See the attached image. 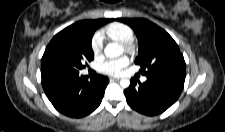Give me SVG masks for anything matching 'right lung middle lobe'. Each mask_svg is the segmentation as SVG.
Here are the masks:
<instances>
[{
    "label": "right lung middle lobe",
    "mask_w": 225,
    "mask_h": 132,
    "mask_svg": "<svg viewBox=\"0 0 225 132\" xmlns=\"http://www.w3.org/2000/svg\"><path fill=\"white\" fill-rule=\"evenodd\" d=\"M104 23L77 22L57 33L46 47L41 61V76L75 75L92 61V36Z\"/></svg>",
    "instance_id": "right-lung-middle-lobe-1"
}]
</instances>
